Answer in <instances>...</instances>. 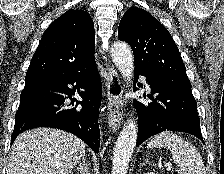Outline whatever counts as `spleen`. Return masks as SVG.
Instances as JSON below:
<instances>
[{
  "label": "spleen",
  "mask_w": 224,
  "mask_h": 174,
  "mask_svg": "<svg viewBox=\"0 0 224 174\" xmlns=\"http://www.w3.org/2000/svg\"><path fill=\"white\" fill-rule=\"evenodd\" d=\"M167 148L173 161L183 172L181 174H206L205 166L197 149L172 132H162L154 136L147 144V148Z\"/></svg>",
  "instance_id": "3e777b00"
}]
</instances>
